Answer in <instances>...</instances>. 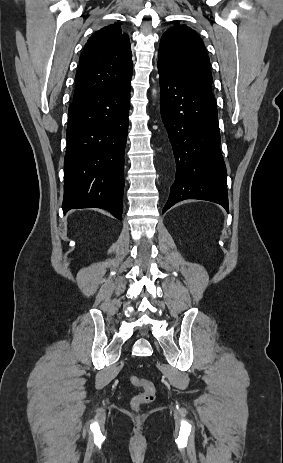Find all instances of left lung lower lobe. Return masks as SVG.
Returning a JSON list of instances; mask_svg holds the SVG:
<instances>
[{"label": "left lung lower lobe", "mask_w": 283, "mask_h": 463, "mask_svg": "<svg viewBox=\"0 0 283 463\" xmlns=\"http://www.w3.org/2000/svg\"><path fill=\"white\" fill-rule=\"evenodd\" d=\"M158 72L161 116L176 161V179L163 213L185 199L215 202L228 211L215 99L194 91L161 64Z\"/></svg>", "instance_id": "obj_1"}]
</instances>
